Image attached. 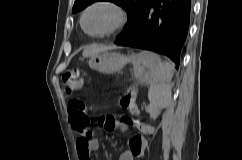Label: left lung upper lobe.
Returning <instances> with one entry per match:
<instances>
[{
    "instance_id": "1",
    "label": "left lung upper lobe",
    "mask_w": 242,
    "mask_h": 160,
    "mask_svg": "<svg viewBox=\"0 0 242 160\" xmlns=\"http://www.w3.org/2000/svg\"><path fill=\"white\" fill-rule=\"evenodd\" d=\"M96 1H101V0H75L72 12L76 13L80 10H83L85 7H87L88 5ZM105 1L114 2L122 6L128 14V21L124 26V30L118 36L125 35L130 32L134 21L144 10L148 2V0H105Z\"/></svg>"
}]
</instances>
